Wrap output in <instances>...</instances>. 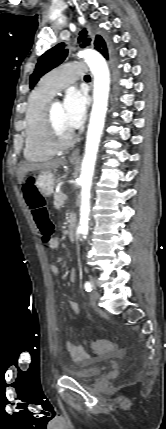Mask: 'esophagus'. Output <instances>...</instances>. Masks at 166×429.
I'll return each instance as SVG.
<instances>
[{
    "mask_svg": "<svg viewBox=\"0 0 166 429\" xmlns=\"http://www.w3.org/2000/svg\"><path fill=\"white\" fill-rule=\"evenodd\" d=\"M78 156H79V149H75L73 151V153L71 154L70 158L71 159H76V158H78Z\"/></svg>",
    "mask_w": 166,
    "mask_h": 429,
    "instance_id": "1",
    "label": "esophagus"
}]
</instances>
